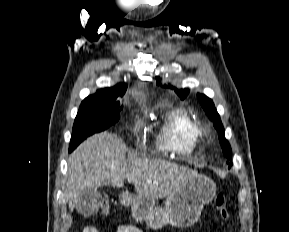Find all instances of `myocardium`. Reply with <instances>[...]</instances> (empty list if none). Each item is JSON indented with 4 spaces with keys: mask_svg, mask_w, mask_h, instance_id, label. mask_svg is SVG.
<instances>
[{
    "mask_svg": "<svg viewBox=\"0 0 289 232\" xmlns=\"http://www.w3.org/2000/svg\"><path fill=\"white\" fill-rule=\"evenodd\" d=\"M205 134V129L198 126V135L199 137L203 136Z\"/></svg>",
    "mask_w": 289,
    "mask_h": 232,
    "instance_id": "1",
    "label": "myocardium"
}]
</instances>
